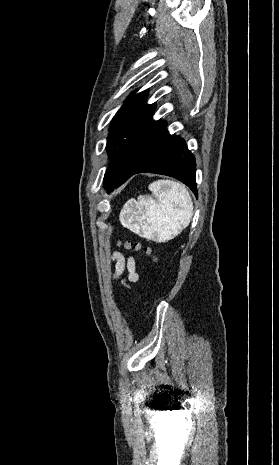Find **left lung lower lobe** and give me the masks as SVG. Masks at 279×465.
<instances>
[{"label": "left lung lower lobe", "mask_w": 279, "mask_h": 465, "mask_svg": "<svg viewBox=\"0 0 279 465\" xmlns=\"http://www.w3.org/2000/svg\"><path fill=\"white\" fill-rule=\"evenodd\" d=\"M195 157L179 136L168 138L132 174L150 172L174 177L186 184L197 196Z\"/></svg>", "instance_id": "1"}]
</instances>
